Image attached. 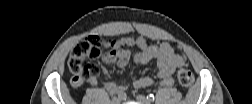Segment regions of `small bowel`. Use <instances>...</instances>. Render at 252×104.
<instances>
[{
	"instance_id": "1",
	"label": "small bowel",
	"mask_w": 252,
	"mask_h": 104,
	"mask_svg": "<svg viewBox=\"0 0 252 104\" xmlns=\"http://www.w3.org/2000/svg\"><path fill=\"white\" fill-rule=\"evenodd\" d=\"M117 45L118 48L114 53L104 58L106 63L116 62L118 67H126L131 57L128 47H137L138 52L134 55V61L138 64H147L151 60H156L157 77L162 86H172L174 84V71L185 63L183 57L175 53L169 43L150 45L144 37L124 36L117 41ZM87 83L92 86L96 85V77L91 76L87 79ZM153 83L154 80L146 76L135 80L133 86L136 89H143L153 85ZM103 86L110 94H119L126 87L116 81H105Z\"/></svg>"
}]
</instances>
